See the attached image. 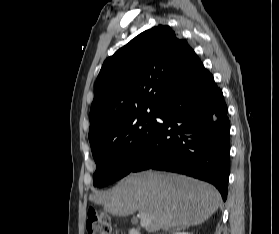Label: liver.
Wrapping results in <instances>:
<instances>
[{"label":"liver","instance_id":"6515ba94","mask_svg":"<svg viewBox=\"0 0 279 234\" xmlns=\"http://www.w3.org/2000/svg\"><path fill=\"white\" fill-rule=\"evenodd\" d=\"M90 199L114 215L146 214L150 232L199 225L222 203L219 192L208 183L157 171L131 174L112 190L95 193Z\"/></svg>","mask_w":279,"mask_h":234}]
</instances>
